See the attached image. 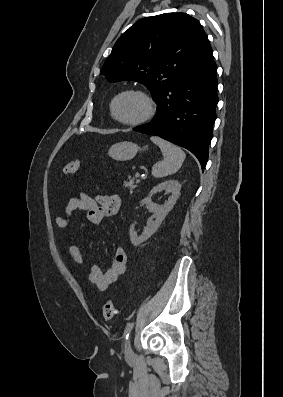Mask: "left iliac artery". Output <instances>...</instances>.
Instances as JSON below:
<instances>
[{
    "instance_id": "left-iliac-artery-1",
    "label": "left iliac artery",
    "mask_w": 283,
    "mask_h": 397,
    "mask_svg": "<svg viewBox=\"0 0 283 397\" xmlns=\"http://www.w3.org/2000/svg\"><path fill=\"white\" fill-rule=\"evenodd\" d=\"M133 325H134L133 322H130V323L127 324V326H126V328L124 330V338H125V340L128 339L129 333L131 332V330L133 328Z\"/></svg>"
}]
</instances>
